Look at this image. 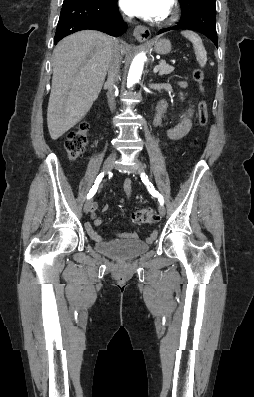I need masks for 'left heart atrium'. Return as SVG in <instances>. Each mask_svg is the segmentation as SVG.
<instances>
[{"label": "left heart atrium", "mask_w": 254, "mask_h": 397, "mask_svg": "<svg viewBox=\"0 0 254 397\" xmlns=\"http://www.w3.org/2000/svg\"><path fill=\"white\" fill-rule=\"evenodd\" d=\"M172 0H121L122 9L131 16L145 19L163 17L170 9Z\"/></svg>", "instance_id": "39dd6f15"}]
</instances>
